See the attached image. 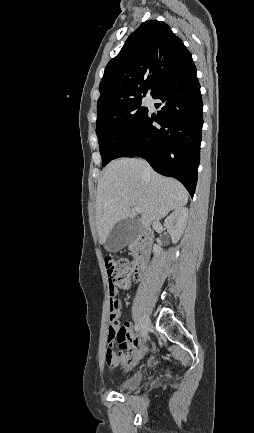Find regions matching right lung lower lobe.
<instances>
[{
    "mask_svg": "<svg viewBox=\"0 0 254 433\" xmlns=\"http://www.w3.org/2000/svg\"><path fill=\"white\" fill-rule=\"evenodd\" d=\"M152 97L161 100L155 104L161 110L157 115L147 112L114 159L142 157L159 174L179 180L193 197L200 162L203 103L192 58Z\"/></svg>",
    "mask_w": 254,
    "mask_h": 433,
    "instance_id": "right-lung-lower-lobe-1",
    "label": "right lung lower lobe"
}]
</instances>
